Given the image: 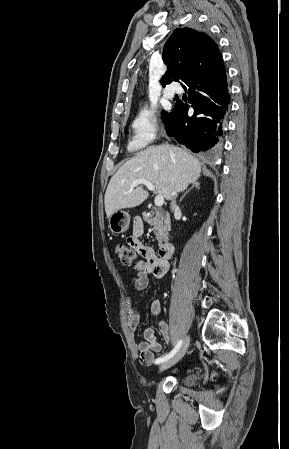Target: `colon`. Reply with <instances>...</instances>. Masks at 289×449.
<instances>
[{
    "label": "colon",
    "instance_id": "colon-1",
    "mask_svg": "<svg viewBox=\"0 0 289 449\" xmlns=\"http://www.w3.org/2000/svg\"><path fill=\"white\" fill-rule=\"evenodd\" d=\"M116 255L125 266H131L137 259V252L128 244H119L116 247Z\"/></svg>",
    "mask_w": 289,
    "mask_h": 449
}]
</instances>
